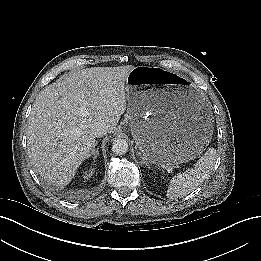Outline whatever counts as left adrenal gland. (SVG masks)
<instances>
[{
    "label": "left adrenal gland",
    "instance_id": "a2214340",
    "mask_svg": "<svg viewBox=\"0 0 261 261\" xmlns=\"http://www.w3.org/2000/svg\"><path fill=\"white\" fill-rule=\"evenodd\" d=\"M141 159H142L141 164H147V162L145 161V158L141 157Z\"/></svg>",
    "mask_w": 261,
    "mask_h": 261
}]
</instances>
